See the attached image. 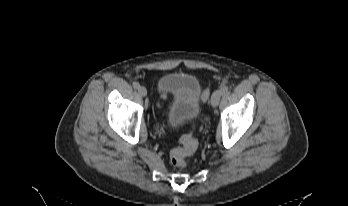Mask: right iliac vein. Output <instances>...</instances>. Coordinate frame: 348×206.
I'll use <instances>...</instances> for the list:
<instances>
[{"mask_svg": "<svg viewBox=\"0 0 348 206\" xmlns=\"http://www.w3.org/2000/svg\"><path fill=\"white\" fill-rule=\"evenodd\" d=\"M138 93L142 96L145 97L147 95V89L144 86H140L138 88Z\"/></svg>", "mask_w": 348, "mask_h": 206, "instance_id": "right-iliac-vein-1", "label": "right iliac vein"}]
</instances>
